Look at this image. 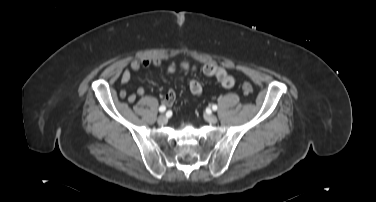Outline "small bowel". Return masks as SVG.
Masks as SVG:
<instances>
[{
    "instance_id": "c3829d8e",
    "label": "small bowel",
    "mask_w": 376,
    "mask_h": 202,
    "mask_svg": "<svg viewBox=\"0 0 376 202\" xmlns=\"http://www.w3.org/2000/svg\"><path fill=\"white\" fill-rule=\"evenodd\" d=\"M161 64L159 59H151V58H142L138 60H134L130 64V69H125L120 77L122 84H127L131 79V70L138 71L141 68H156L159 67ZM197 68L186 61H173L170 62L167 66V72L171 75H177L180 72L185 73H192L195 72ZM202 71L207 76H215L218 82L227 88H230L234 85L235 81L232 76L228 74V72L223 68L219 67L216 64L208 63L203 66ZM182 79L181 76L178 77ZM189 88L191 93L194 96H200L202 93V86L199 82L195 80H191L189 82ZM145 94V90L143 87H138L134 92L128 93L126 89H121L119 91V96L122 99H126L129 103H133L137 98L142 97ZM176 99V93L173 89H169L164 96L163 103L171 106Z\"/></svg>"
}]
</instances>
